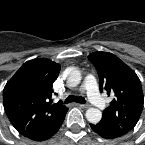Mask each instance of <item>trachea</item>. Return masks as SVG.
Here are the masks:
<instances>
[{"mask_svg":"<svg viewBox=\"0 0 145 145\" xmlns=\"http://www.w3.org/2000/svg\"><path fill=\"white\" fill-rule=\"evenodd\" d=\"M72 102L85 104L86 100L83 97H77V96H68L65 99V104L72 103Z\"/></svg>","mask_w":145,"mask_h":145,"instance_id":"trachea-1","label":"trachea"}]
</instances>
